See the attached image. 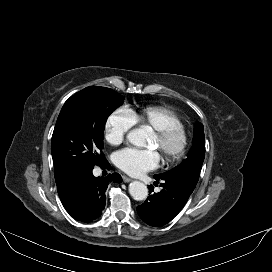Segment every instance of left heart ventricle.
Instances as JSON below:
<instances>
[{
    "label": "left heart ventricle",
    "mask_w": 272,
    "mask_h": 272,
    "mask_svg": "<svg viewBox=\"0 0 272 272\" xmlns=\"http://www.w3.org/2000/svg\"><path fill=\"white\" fill-rule=\"evenodd\" d=\"M175 143H176V141H173L172 144H171V147H173L175 145ZM149 146L159 148L160 150L162 149V147L160 146L159 141L155 137V135L152 136V138L150 140V143H149Z\"/></svg>",
    "instance_id": "b2bd125f"
}]
</instances>
